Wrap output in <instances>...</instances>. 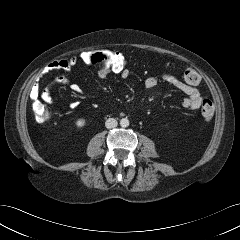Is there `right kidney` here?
<instances>
[{
  "instance_id": "1",
  "label": "right kidney",
  "mask_w": 240,
  "mask_h": 240,
  "mask_svg": "<svg viewBox=\"0 0 240 240\" xmlns=\"http://www.w3.org/2000/svg\"><path fill=\"white\" fill-rule=\"evenodd\" d=\"M86 121L83 118L77 119L75 122V125L77 127V129L82 128L85 125Z\"/></svg>"
}]
</instances>
